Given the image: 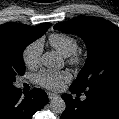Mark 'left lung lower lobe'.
<instances>
[{"instance_id":"left-lung-lower-lobe-1","label":"left lung lower lobe","mask_w":119,"mask_h":119,"mask_svg":"<svg viewBox=\"0 0 119 119\" xmlns=\"http://www.w3.org/2000/svg\"><path fill=\"white\" fill-rule=\"evenodd\" d=\"M70 91L77 96L85 92L86 99L80 101L78 97L73 99L70 94H63L66 109L61 119H119V90L91 88L80 91L71 85Z\"/></svg>"}]
</instances>
